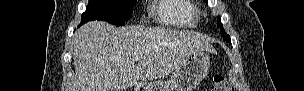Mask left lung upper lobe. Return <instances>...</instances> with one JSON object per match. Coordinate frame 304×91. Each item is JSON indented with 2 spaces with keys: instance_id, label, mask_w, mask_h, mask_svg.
<instances>
[{
  "instance_id": "obj_1",
  "label": "left lung upper lobe",
  "mask_w": 304,
  "mask_h": 91,
  "mask_svg": "<svg viewBox=\"0 0 304 91\" xmlns=\"http://www.w3.org/2000/svg\"><path fill=\"white\" fill-rule=\"evenodd\" d=\"M204 1L207 2L208 0H204ZM218 24H219L220 29H221V35H222V37H223L225 40H227L228 42H231L229 35L226 34V32H225V30H224V28H223V25H222V23L220 22V17H219V16H218Z\"/></svg>"
}]
</instances>
